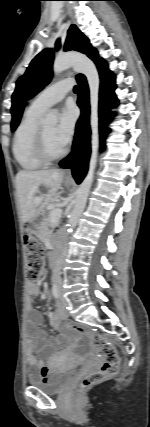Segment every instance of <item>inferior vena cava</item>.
Listing matches in <instances>:
<instances>
[{
	"mask_svg": "<svg viewBox=\"0 0 150 427\" xmlns=\"http://www.w3.org/2000/svg\"><path fill=\"white\" fill-rule=\"evenodd\" d=\"M65 255H66L65 252H63L61 254V256H60L59 260L57 261V263H56V265H55V267L53 269V272H52V281L56 282L58 284L61 283V277H60V275H61V267H62Z\"/></svg>",
	"mask_w": 150,
	"mask_h": 427,
	"instance_id": "inferior-vena-cava-1",
	"label": "inferior vena cava"
}]
</instances>
